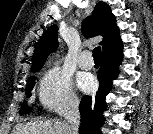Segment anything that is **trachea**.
I'll list each match as a JSON object with an SVG mask.
<instances>
[{
    "label": "trachea",
    "mask_w": 153,
    "mask_h": 134,
    "mask_svg": "<svg viewBox=\"0 0 153 134\" xmlns=\"http://www.w3.org/2000/svg\"><path fill=\"white\" fill-rule=\"evenodd\" d=\"M93 58L94 61H100L101 60V47H95L93 50Z\"/></svg>",
    "instance_id": "1"
}]
</instances>
